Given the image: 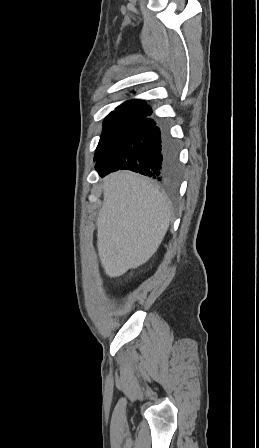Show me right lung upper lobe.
Wrapping results in <instances>:
<instances>
[{"label":"right lung upper lobe","mask_w":259,"mask_h":448,"mask_svg":"<svg viewBox=\"0 0 259 448\" xmlns=\"http://www.w3.org/2000/svg\"><path fill=\"white\" fill-rule=\"evenodd\" d=\"M151 113V108L144 101L131 99L116 107L110 114H140L144 117Z\"/></svg>","instance_id":"1"}]
</instances>
